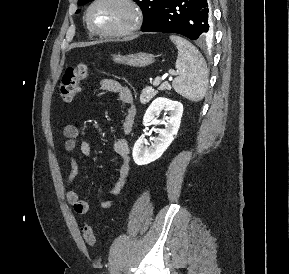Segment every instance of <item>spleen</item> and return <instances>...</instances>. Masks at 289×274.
<instances>
[{
	"label": "spleen",
	"mask_w": 289,
	"mask_h": 274,
	"mask_svg": "<svg viewBox=\"0 0 289 274\" xmlns=\"http://www.w3.org/2000/svg\"><path fill=\"white\" fill-rule=\"evenodd\" d=\"M170 39L178 49L175 67L180 72L172 86L183 97L200 101L205 96L208 86V69L199 50L188 40L171 35Z\"/></svg>",
	"instance_id": "obj_1"
}]
</instances>
